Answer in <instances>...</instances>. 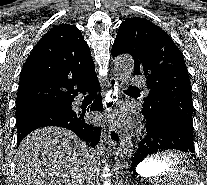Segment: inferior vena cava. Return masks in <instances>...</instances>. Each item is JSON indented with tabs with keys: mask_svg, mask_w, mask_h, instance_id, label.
I'll return each instance as SVG.
<instances>
[{
	"mask_svg": "<svg viewBox=\"0 0 207 185\" xmlns=\"http://www.w3.org/2000/svg\"><path fill=\"white\" fill-rule=\"evenodd\" d=\"M93 165H99V163H97V161H93Z\"/></svg>",
	"mask_w": 207,
	"mask_h": 185,
	"instance_id": "inferior-vena-cava-1",
	"label": "inferior vena cava"
}]
</instances>
